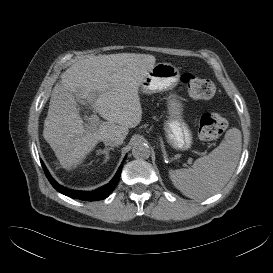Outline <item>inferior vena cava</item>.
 <instances>
[{
  "instance_id": "1",
  "label": "inferior vena cava",
  "mask_w": 273,
  "mask_h": 273,
  "mask_svg": "<svg viewBox=\"0 0 273 273\" xmlns=\"http://www.w3.org/2000/svg\"><path fill=\"white\" fill-rule=\"evenodd\" d=\"M103 143L106 145V146H118L120 145L122 142L115 138V137H107V138H104L103 139Z\"/></svg>"
}]
</instances>
